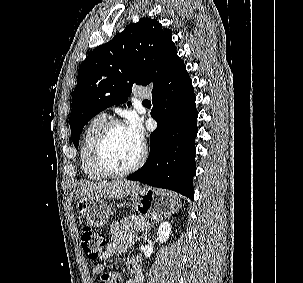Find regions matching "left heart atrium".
Instances as JSON below:
<instances>
[{"instance_id": "39dd6f15", "label": "left heart atrium", "mask_w": 303, "mask_h": 283, "mask_svg": "<svg viewBox=\"0 0 303 283\" xmlns=\"http://www.w3.org/2000/svg\"><path fill=\"white\" fill-rule=\"evenodd\" d=\"M125 127L135 143L142 146L144 133L140 121L135 116H132Z\"/></svg>"}]
</instances>
